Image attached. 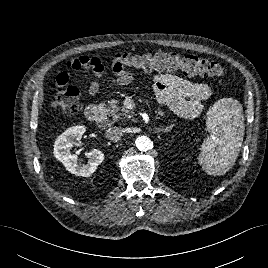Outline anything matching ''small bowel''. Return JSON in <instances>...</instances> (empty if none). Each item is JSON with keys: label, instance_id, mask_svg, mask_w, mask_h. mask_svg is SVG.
<instances>
[{"label": "small bowel", "instance_id": "1", "mask_svg": "<svg viewBox=\"0 0 268 268\" xmlns=\"http://www.w3.org/2000/svg\"><path fill=\"white\" fill-rule=\"evenodd\" d=\"M70 70H84L90 76L88 93L97 95L100 80L104 78L106 67L96 56H80L66 63ZM66 81V76H61ZM133 81L129 71L119 70L109 78V83L127 86ZM153 90L160 102L167 105L174 113L185 118L197 117L203 109V102L209 100L213 91L206 83L192 82L172 73L156 74L153 77Z\"/></svg>", "mask_w": 268, "mask_h": 268}]
</instances>
